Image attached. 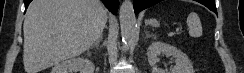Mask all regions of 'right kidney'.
Instances as JSON below:
<instances>
[{"instance_id":"right-kidney-1","label":"right kidney","mask_w":244,"mask_h":73,"mask_svg":"<svg viewBox=\"0 0 244 73\" xmlns=\"http://www.w3.org/2000/svg\"><path fill=\"white\" fill-rule=\"evenodd\" d=\"M94 69V64L89 59L78 57L55 65L51 73H94Z\"/></svg>"}]
</instances>
